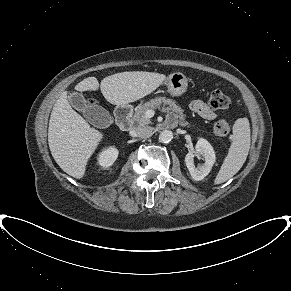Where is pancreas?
Wrapping results in <instances>:
<instances>
[{
	"mask_svg": "<svg viewBox=\"0 0 291 291\" xmlns=\"http://www.w3.org/2000/svg\"><path fill=\"white\" fill-rule=\"evenodd\" d=\"M162 105L167 106L165 110H172L173 112H175V114L179 118V124L181 126H189V123L185 120L186 115L184 114V110L176 104V101L165 97H157L155 99H151L150 101L139 106L132 117V122L138 126L150 124L151 121L146 116V111L160 109Z\"/></svg>",
	"mask_w": 291,
	"mask_h": 291,
	"instance_id": "pancreas-1",
	"label": "pancreas"
}]
</instances>
